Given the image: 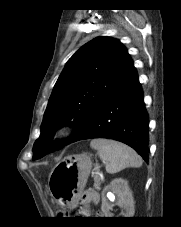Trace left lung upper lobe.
I'll return each instance as SVG.
<instances>
[{"label":"left lung upper lobe","mask_w":181,"mask_h":227,"mask_svg":"<svg viewBox=\"0 0 181 227\" xmlns=\"http://www.w3.org/2000/svg\"><path fill=\"white\" fill-rule=\"evenodd\" d=\"M134 69L125 47L116 39L98 37L82 46L67 62L50 96L33 160L80 139L107 97ZM64 124L76 131L67 141L52 142Z\"/></svg>","instance_id":"left-lung-upper-lobe-1"}]
</instances>
